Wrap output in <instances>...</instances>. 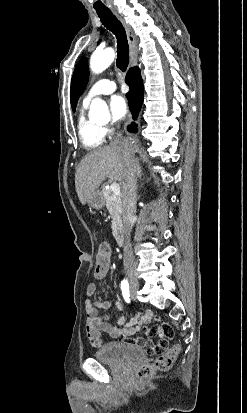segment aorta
I'll list each match as a JSON object with an SVG mask.
<instances>
[{"label":"aorta","mask_w":247,"mask_h":413,"mask_svg":"<svg viewBox=\"0 0 247 413\" xmlns=\"http://www.w3.org/2000/svg\"><path fill=\"white\" fill-rule=\"evenodd\" d=\"M114 58L115 52L112 48L94 52L90 59V69L96 74L101 73L112 64ZM89 116L96 119L108 117L109 112L106 103L99 98L94 99L90 106Z\"/></svg>","instance_id":"aorta-1"}]
</instances>
